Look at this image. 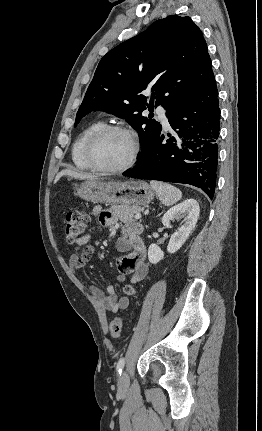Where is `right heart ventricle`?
<instances>
[{
	"label": "right heart ventricle",
	"instance_id": "e07e8e85",
	"mask_svg": "<svg viewBox=\"0 0 262 431\" xmlns=\"http://www.w3.org/2000/svg\"><path fill=\"white\" fill-rule=\"evenodd\" d=\"M104 125L102 120H96L89 124L75 139L71 148V159L74 167L78 170L93 171L85 159V148L91 135Z\"/></svg>",
	"mask_w": 262,
	"mask_h": 431
}]
</instances>
